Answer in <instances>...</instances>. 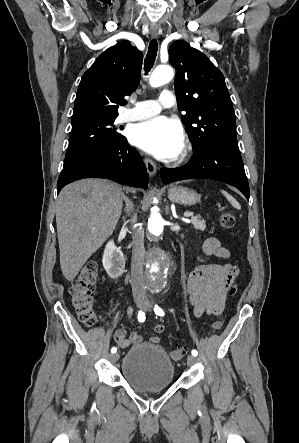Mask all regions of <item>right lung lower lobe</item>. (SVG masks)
Masks as SVG:
<instances>
[{"label":"right lung lower lobe","instance_id":"1","mask_svg":"<svg viewBox=\"0 0 299 443\" xmlns=\"http://www.w3.org/2000/svg\"><path fill=\"white\" fill-rule=\"evenodd\" d=\"M83 178H106L117 183L147 189L149 176L140 154L126 138L117 144L91 153L63 168L57 191Z\"/></svg>","mask_w":299,"mask_h":443}]
</instances>
